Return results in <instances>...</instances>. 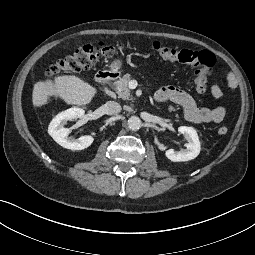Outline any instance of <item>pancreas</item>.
<instances>
[{"mask_svg": "<svg viewBox=\"0 0 255 255\" xmlns=\"http://www.w3.org/2000/svg\"><path fill=\"white\" fill-rule=\"evenodd\" d=\"M131 79H132L131 75L127 73L122 78H120L119 80L115 82L116 93L123 100H133L131 91L128 87V84L131 81ZM168 110L172 112V111H176V108L170 105L168 107ZM176 117H178V115H176Z\"/></svg>", "mask_w": 255, "mask_h": 255, "instance_id": "1", "label": "pancreas"}]
</instances>
